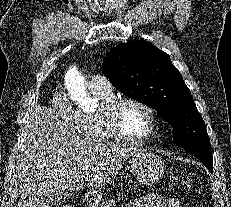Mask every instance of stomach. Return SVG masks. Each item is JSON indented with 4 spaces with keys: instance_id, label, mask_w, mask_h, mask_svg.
<instances>
[{
    "instance_id": "1",
    "label": "stomach",
    "mask_w": 231,
    "mask_h": 207,
    "mask_svg": "<svg viewBox=\"0 0 231 207\" xmlns=\"http://www.w3.org/2000/svg\"><path fill=\"white\" fill-rule=\"evenodd\" d=\"M131 172L139 184H154L164 174L165 165L161 157L146 149H141L131 155ZM101 198H96L98 203Z\"/></svg>"
}]
</instances>
